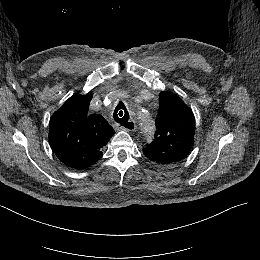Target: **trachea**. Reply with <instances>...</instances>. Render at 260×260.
<instances>
[{
    "instance_id": "3493384b",
    "label": "trachea",
    "mask_w": 260,
    "mask_h": 260,
    "mask_svg": "<svg viewBox=\"0 0 260 260\" xmlns=\"http://www.w3.org/2000/svg\"><path fill=\"white\" fill-rule=\"evenodd\" d=\"M129 117L130 116L128 110L126 109V106L122 102H120L114 110L113 119L117 123L125 126L128 123Z\"/></svg>"
}]
</instances>
